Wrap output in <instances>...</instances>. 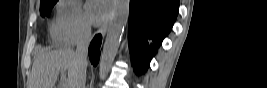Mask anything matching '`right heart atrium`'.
Returning <instances> with one entry per match:
<instances>
[{
  "mask_svg": "<svg viewBox=\"0 0 267 88\" xmlns=\"http://www.w3.org/2000/svg\"><path fill=\"white\" fill-rule=\"evenodd\" d=\"M90 26L76 1L60 2L52 23L51 36L59 44L73 45L84 40Z\"/></svg>",
  "mask_w": 267,
  "mask_h": 88,
  "instance_id": "1",
  "label": "right heart atrium"
}]
</instances>
